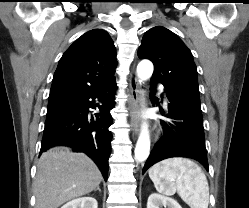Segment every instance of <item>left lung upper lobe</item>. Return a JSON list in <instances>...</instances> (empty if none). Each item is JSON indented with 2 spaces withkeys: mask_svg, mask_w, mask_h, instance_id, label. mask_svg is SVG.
<instances>
[{
  "mask_svg": "<svg viewBox=\"0 0 249 208\" xmlns=\"http://www.w3.org/2000/svg\"><path fill=\"white\" fill-rule=\"evenodd\" d=\"M138 57L153 62L151 80L200 103L197 68L193 56L173 32L162 26L148 30L143 36Z\"/></svg>",
  "mask_w": 249,
  "mask_h": 208,
  "instance_id": "left-lung-upper-lobe-1",
  "label": "left lung upper lobe"
}]
</instances>
